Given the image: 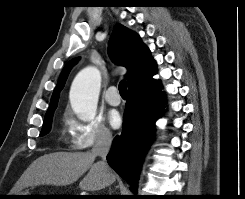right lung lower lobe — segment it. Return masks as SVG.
<instances>
[{
  "instance_id": "98d812e1",
  "label": "right lung lower lobe",
  "mask_w": 245,
  "mask_h": 199,
  "mask_svg": "<svg viewBox=\"0 0 245 199\" xmlns=\"http://www.w3.org/2000/svg\"><path fill=\"white\" fill-rule=\"evenodd\" d=\"M164 95L157 82L144 90H128L123 117V130L107 155L108 164L131 185L136 179L148 142L154 133V123L163 110Z\"/></svg>"
}]
</instances>
